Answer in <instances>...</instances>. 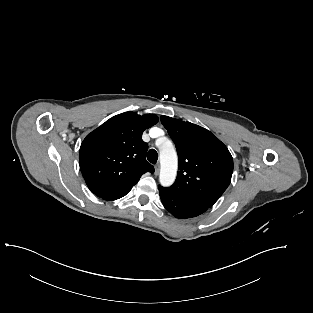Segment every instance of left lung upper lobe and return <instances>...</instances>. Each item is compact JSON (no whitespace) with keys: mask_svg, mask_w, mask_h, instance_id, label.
<instances>
[{"mask_svg":"<svg viewBox=\"0 0 313 313\" xmlns=\"http://www.w3.org/2000/svg\"><path fill=\"white\" fill-rule=\"evenodd\" d=\"M161 122L175 143L178 174L172 195L210 208L229 186L233 159L227 147L210 131L190 122L161 116Z\"/></svg>","mask_w":313,"mask_h":313,"instance_id":"1","label":"left lung upper lobe"}]
</instances>
